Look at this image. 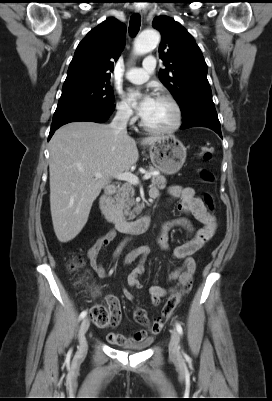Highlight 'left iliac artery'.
Returning a JSON list of instances; mask_svg holds the SVG:
<instances>
[{"label":"left iliac artery","mask_w":272,"mask_h":401,"mask_svg":"<svg viewBox=\"0 0 272 401\" xmlns=\"http://www.w3.org/2000/svg\"><path fill=\"white\" fill-rule=\"evenodd\" d=\"M176 329H177L178 333L180 335H182L183 329H182V326L178 322L176 323Z\"/></svg>","instance_id":"obj_1"}]
</instances>
